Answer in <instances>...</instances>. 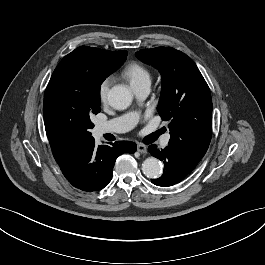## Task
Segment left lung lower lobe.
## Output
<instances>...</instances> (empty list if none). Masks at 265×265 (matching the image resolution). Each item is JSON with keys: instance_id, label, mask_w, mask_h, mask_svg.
Listing matches in <instances>:
<instances>
[{"instance_id": "0a47b994", "label": "left lung lower lobe", "mask_w": 265, "mask_h": 265, "mask_svg": "<svg viewBox=\"0 0 265 265\" xmlns=\"http://www.w3.org/2000/svg\"><path fill=\"white\" fill-rule=\"evenodd\" d=\"M148 151L156 158L164 162V173L160 178L151 179L157 186L169 187L179 183L193 168L187 166L184 161L169 147L159 150L156 145H150Z\"/></svg>"}]
</instances>
